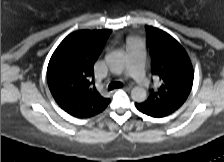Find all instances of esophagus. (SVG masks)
<instances>
[{"label":"esophagus","mask_w":224,"mask_h":162,"mask_svg":"<svg viewBox=\"0 0 224 162\" xmlns=\"http://www.w3.org/2000/svg\"><path fill=\"white\" fill-rule=\"evenodd\" d=\"M123 89L126 90V91H129L130 90L129 87H124Z\"/></svg>","instance_id":"34e87169"}]
</instances>
